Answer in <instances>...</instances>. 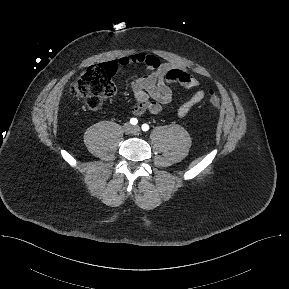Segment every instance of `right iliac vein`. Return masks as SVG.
<instances>
[{
	"mask_svg": "<svg viewBox=\"0 0 289 289\" xmlns=\"http://www.w3.org/2000/svg\"><path fill=\"white\" fill-rule=\"evenodd\" d=\"M123 128H124V131L127 133H130L133 130L132 126L129 123H126Z\"/></svg>",
	"mask_w": 289,
	"mask_h": 289,
	"instance_id": "right-iliac-vein-1",
	"label": "right iliac vein"
}]
</instances>
